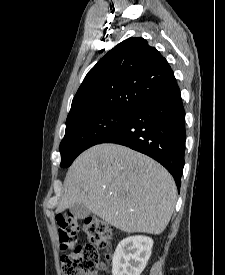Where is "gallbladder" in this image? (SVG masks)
<instances>
[{
  "label": "gallbladder",
  "mask_w": 225,
  "mask_h": 275,
  "mask_svg": "<svg viewBox=\"0 0 225 275\" xmlns=\"http://www.w3.org/2000/svg\"><path fill=\"white\" fill-rule=\"evenodd\" d=\"M69 210L78 219H83L90 214V210L83 203H75Z\"/></svg>",
  "instance_id": "bac80fb5"
}]
</instances>
